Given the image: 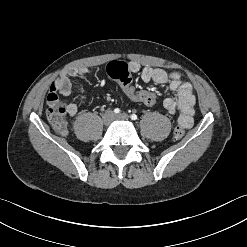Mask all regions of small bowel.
Segmentation results:
<instances>
[{"instance_id":"c3829d8e","label":"small bowel","mask_w":247,"mask_h":247,"mask_svg":"<svg viewBox=\"0 0 247 247\" xmlns=\"http://www.w3.org/2000/svg\"><path fill=\"white\" fill-rule=\"evenodd\" d=\"M128 69L131 73L140 72L141 79L144 82H154L160 85H166V90L177 93V100L166 98L163 101V108L170 114H179V124L184 128H190L194 122L195 96L190 82L183 80L178 72H167L161 68L144 67L136 62H130ZM92 72L84 67H72L61 74L51 86V90L67 98L75 94L71 78L90 75ZM67 115L72 117L77 113V106L73 103L63 102Z\"/></svg>"}]
</instances>
